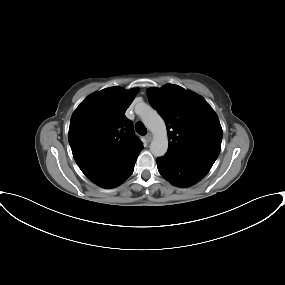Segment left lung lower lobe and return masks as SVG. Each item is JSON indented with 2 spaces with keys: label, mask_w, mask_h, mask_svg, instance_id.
Returning a JSON list of instances; mask_svg holds the SVG:
<instances>
[{
  "label": "left lung lower lobe",
  "mask_w": 285,
  "mask_h": 285,
  "mask_svg": "<svg viewBox=\"0 0 285 285\" xmlns=\"http://www.w3.org/2000/svg\"><path fill=\"white\" fill-rule=\"evenodd\" d=\"M159 173L178 187H189L201 180L211 169L185 158L167 154L157 158Z\"/></svg>",
  "instance_id": "left-lung-lower-lobe-1"
}]
</instances>
